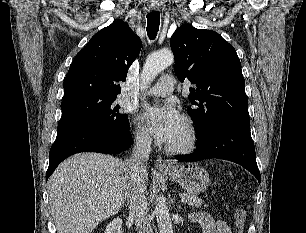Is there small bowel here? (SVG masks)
Listing matches in <instances>:
<instances>
[{
  "instance_id": "small-bowel-1",
  "label": "small bowel",
  "mask_w": 306,
  "mask_h": 233,
  "mask_svg": "<svg viewBox=\"0 0 306 233\" xmlns=\"http://www.w3.org/2000/svg\"><path fill=\"white\" fill-rule=\"evenodd\" d=\"M190 219L201 227L203 233H232L226 222L216 220L207 213L192 214Z\"/></svg>"
}]
</instances>
